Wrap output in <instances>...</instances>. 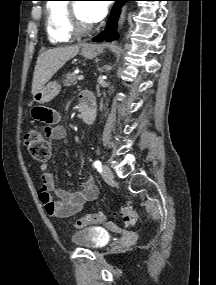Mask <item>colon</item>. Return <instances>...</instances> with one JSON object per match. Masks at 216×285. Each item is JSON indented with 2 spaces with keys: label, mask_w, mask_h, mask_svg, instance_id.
Returning a JSON list of instances; mask_svg holds the SVG:
<instances>
[{
  "label": "colon",
  "mask_w": 216,
  "mask_h": 285,
  "mask_svg": "<svg viewBox=\"0 0 216 285\" xmlns=\"http://www.w3.org/2000/svg\"><path fill=\"white\" fill-rule=\"evenodd\" d=\"M40 128V127H37ZM37 128L29 130L25 135V145L30 155L37 161L45 162L50 157V145L48 141H44V136L36 132ZM46 136L49 131L47 130ZM114 215L120 218L128 227H134L137 221L136 211L129 205L120 208ZM106 220L103 213L88 214L80 218L76 222L77 228H84L89 225L99 224Z\"/></svg>",
  "instance_id": "5ec220e1"
}]
</instances>
